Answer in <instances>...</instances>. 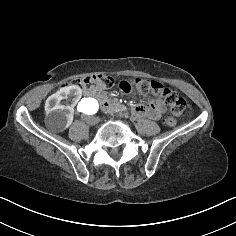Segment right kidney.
<instances>
[{
	"mask_svg": "<svg viewBox=\"0 0 236 236\" xmlns=\"http://www.w3.org/2000/svg\"><path fill=\"white\" fill-rule=\"evenodd\" d=\"M81 95V88L77 85L63 87L51 95L46 105L49 112L43 122L45 128L53 133L68 128L73 121V110Z\"/></svg>",
	"mask_w": 236,
	"mask_h": 236,
	"instance_id": "right-kidney-1",
	"label": "right kidney"
}]
</instances>
